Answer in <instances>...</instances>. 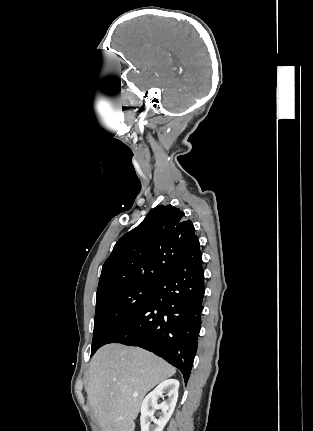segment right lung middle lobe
<instances>
[{
	"instance_id": "1",
	"label": "right lung middle lobe",
	"mask_w": 313,
	"mask_h": 431,
	"mask_svg": "<svg viewBox=\"0 0 313 431\" xmlns=\"http://www.w3.org/2000/svg\"><path fill=\"white\" fill-rule=\"evenodd\" d=\"M157 286L125 288L96 300L91 356L134 315Z\"/></svg>"
}]
</instances>
